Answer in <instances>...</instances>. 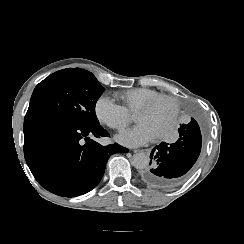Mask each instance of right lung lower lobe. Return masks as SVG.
Returning a JSON list of instances; mask_svg holds the SVG:
<instances>
[{
	"label": "right lung lower lobe",
	"instance_id": "right-lung-lower-lobe-1",
	"mask_svg": "<svg viewBox=\"0 0 244 244\" xmlns=\"http://www.w3.org/2000/svg\"><path fill=\"white\" fill-rule=\"evenodd\" d=\"M109 136L100 124L82 126L48 114H26L24 155L39 184L48 191L74 197L91 191L101 180L107 160L128 149L102 146L90 139Z\"/></svg>",
	"mask_w": 244,
	"mask_h": 244
}]
</instances>
